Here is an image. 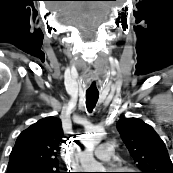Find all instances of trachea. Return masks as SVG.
I'll return each mask as SVG.
<instances>
[{"label": "trachea", "instance_id": "obj_1", "mask_svg": "<svg viewBox=\"0 0 173 173\" xmlns=\"http://www.w3.org/2000/svg\"><path fill=\"white\" fill-rule=\"evenodd\" d=\"M99 98L97 93H86V107L89 112H92Z\"/></svg>", "mask_w": 173, "mask_h": 173}]
</instances>
